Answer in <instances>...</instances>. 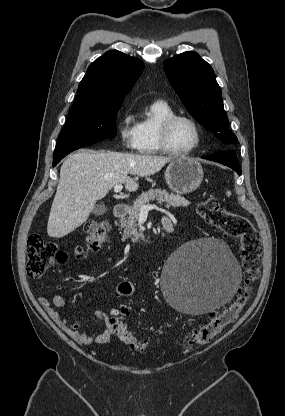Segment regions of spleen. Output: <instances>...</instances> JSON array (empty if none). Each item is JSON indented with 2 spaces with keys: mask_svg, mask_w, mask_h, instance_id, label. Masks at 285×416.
<instances>
[{
  "mask_svg": "<svg viewBox=\"0 0 285 416\" xmlns=\"http://www.w3.org/2000/svg\"><path fill=\"white\" fill-rule=\"evenodd\" d=\"M226 196H231V192H226Z\"/></svg>",
  "mask_w": 285,
  "mask_h": 416,
  "instance_id": "spleen-1",
  "label": "spleen"
}]
</instances>
